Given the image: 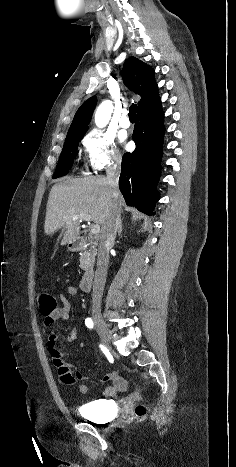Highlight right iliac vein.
Returning a JSON list of instances; mask_svg holds the SVG:
<instances>
[{
	"label": "right iliac vein",
	"instance_id": "1",
	"mask_svg": "<svg viewBox=\"0 0 236 467\" xmlns=\"http://www.w3.org/2000/svg\"><path fill=\"white\" fill-rule=\"evenodd\" d=\"M93 320L95 323L96 330L98 331L103 343L108 346L111 339V333L106 322L103 320L101 314L98 312H95L93 314Z\"/></svg>",
	"mask_w": 236,
	"mask_h": 467
}]
</instances>
